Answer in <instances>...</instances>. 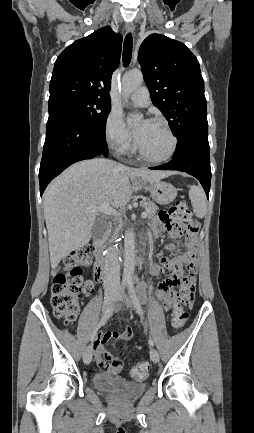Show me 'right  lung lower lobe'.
<instances>
[{"mask_svg": "<svg viewBox=\"0 0 254 433\" xmlns=\"http://www.w3.org/2000/svg\"><path fill=\"white\" fill-rule=\"evenodd\" d=\"M108 156L105 130L64 112H50L39 170L40 195L71 164Z\"/></svg>", "mask_w": 254, "mask_h": 433, "instance_id": "98d812e1", "label": "right lung lower lobe"}]
</instances>
